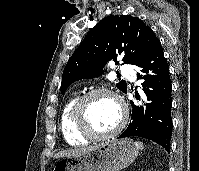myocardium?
Instances as JSON below:
<instances>
[{"label":"myocardium","mask_w":199,"mask_h":171,"mask_svg":"<svg viewBox=\"0 0 199 171\" xmlns=\"http://www.w3.org/2000/svg\"><path fill=\"white\" fill-rule=\"evenodd\" d=\"M99 95H106L112 98L118 104L121 111V118L118 125L113 130L106 133L95 132L90 126L88 120V114H87L88 103L93 97ZM128 116L129 112L124 100L117 93L108 88H96L85 92L80 97H78L73 108V122L76 131L80 135L91 140H104L118 135L126 126L128 121Z\"/></svg>","instance_id":"obj_1"}]
</instances>
